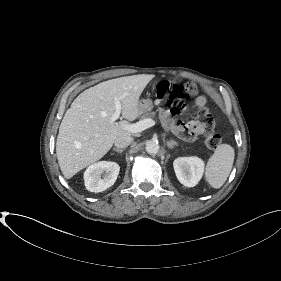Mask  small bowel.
<instances>
[{"mask_svg": "<svg viewBox=\"0 0 281 281\" xmlns=\"http://www.w3.org/2000/svg\"><path fill=\"white\" fill-rule=\"evenodd\" d=\"M194 104L198 108H204L206 105V98L203 95H198L194 99ZM160 118L163 124L177 136L186 139L193 140L198 135L202 134V129L198 121L181 122L172 117L171 113L167 109L160 110Z\"/></svg>", "mask_w": 281, "mask_h": 281, "instance_id": "1", "label": "small bowel"}]
</instances>
